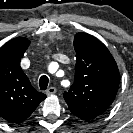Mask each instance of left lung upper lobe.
<instances>
[{
	"instance_id": "5c2ea615",
	"label": "left lung upper lobe",
	"mask_w": 133,
	"mask_h": 133,
	"mask_svg": "<svg viewBox=\"0 0 133 133\" xmlns=\"http://www.w3.org/2000/svg\"><path fill=\"white\" fill-rule=\"evenodd\" d=\"M74 48L75 78L64 99L75 116L88 121L101 115L114 101L119 70L109 50L92 35L77 33Z\"/></svg>"
}]
</instances>
